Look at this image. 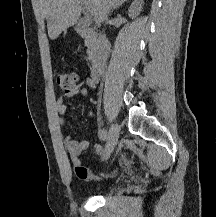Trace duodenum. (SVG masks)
<instances>
[{"label": "duodenum", "mask_w": 216, "mask_h": 217, "mask_svg": "<svg viewBox=\"0 0 216 217\" xmlns=\"http://www.w3.org/2000/svg\"><path fill=\"white\" fill-rule=\"evenodd\" d=\"M91 45L93 54L91 56L92 68L91 74L96 75L101 72L106 64L109 56V42L105 35L96 32L91 27H83L80 29Z\"/></svg>", "instance_id": "410a0bca"}]
</instances>
